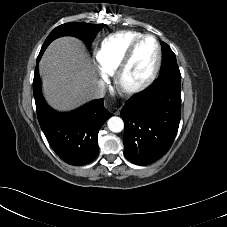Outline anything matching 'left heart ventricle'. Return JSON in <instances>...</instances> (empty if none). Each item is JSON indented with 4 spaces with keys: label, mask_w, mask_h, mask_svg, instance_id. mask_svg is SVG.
I'll list each match as a JSON object with an SVG mask.
<instances>
[{
    "label": "left heart ventricle",
    "mask_w": 227,
    "mask_h": 227,
    "mask_svg": "<svg viewBox=\"0 0 227 227\" xmlns=\"http://www.w3.org/2000/svg\"><path fill=\"white\" fill-rule=\"evenodd\" d=\"M156 45L153 39L147 38L138 46L131 65L126 74V82L129 84L143 80L154 67L156 61Z\"/></svg>",
    "instance_id": "1"
}]
</instances>
